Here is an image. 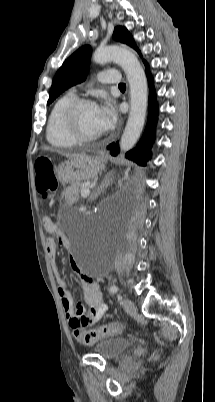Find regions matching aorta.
I'll use <instances>...</instances> for the list:
<instances>
[{
    "label": "aorta",
    "instance_id": "1",
    "mask_svg": "<svg viewBox=\"0 0 215 402\" xmlns=\"http://www.w3.org/2000/svg\"><path fill=\"white\" fill-rule=\"evenodd\" d=\"M93 60L99 64L113 61L122 67L127 76L130 86L131 107L120 141L121 151L126 152L137 142L145 123L148 93L144 70L131 51L117 46L97 49L93 54Z\"/></svg>",
    "mask_w": 215,
    "mask_h": 402
}]
</instances>
